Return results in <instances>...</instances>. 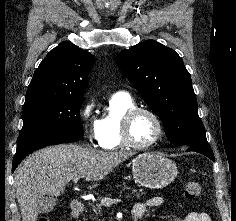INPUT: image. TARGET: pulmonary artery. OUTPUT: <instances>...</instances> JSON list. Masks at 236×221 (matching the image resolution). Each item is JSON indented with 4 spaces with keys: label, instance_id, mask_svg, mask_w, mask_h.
<instances>
[{
    "label": "pulmonary artery",
    "instance_id": "obj_1",
    "mask_svg": "<svg viewBox=\"0 0 236 221\" xmlns=\"http://www.w3.org/2000/svg\"><path fill=\"white\" fill-rule=\"evenodd\" d=\"M117 94H127V93L124 91H120V92H117Z\"/></svg>",
    "mask_w": 236,
    "mask_h": 221
}]
</instances>
